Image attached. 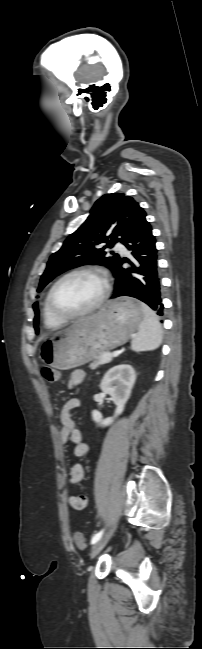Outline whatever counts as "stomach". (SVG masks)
Wrapping results in <instances>:
<instances>
[{"label": "stomach", "instance_id": "stomach-1", "mask_svg": "<svg viewBox=\"0 0 202 649\" xmlns=\"http://www.w3.org/2000/svg\"><path fill=\"white\" fill-rule=\"evenodd\" d=\"M142 321V303L130 298L113 300L98 314L46 338L39 348V358L59 370L78 367L124 344Z\"/></svg>", "mask_w": 202, "mask_h": 649}]
</instances>
